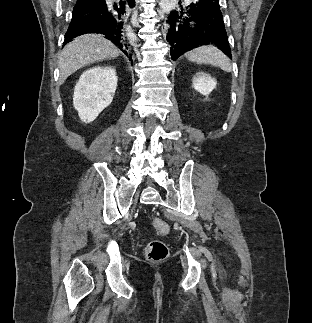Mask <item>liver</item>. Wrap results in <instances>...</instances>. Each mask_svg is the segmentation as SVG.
<instances>
[{
    "label": "liver",
    "instance_id": "6515ba94",
    "mask_svg": "<svg viewBox=\"0 0 312 323\" xmlns=\"http://www.w3.org/2000/svg\"><path fill=\"white\" fill-rule=\"evenodd\" d=\"M119 54L118 48L112 42L103 38L101 34L78 36L63 48L62 54L58 58L59 84H63L68 76H71L83 66L101 62V60H107V58H115Z\"/></svg>",
    "mask_w": 312,
    "mask_h": 323
}]
</instances>
